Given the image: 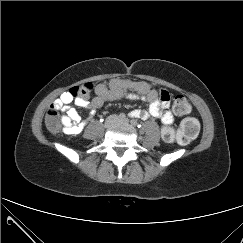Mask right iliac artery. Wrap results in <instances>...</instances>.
I'll return each mask as SVG.
<instances>
[{
  "label": "right iliac artery",
  "instance_id": "right-iliac-artery-1",
  "mask_svg": "<svg viewBox=\"0 0 243 243\" xmlns=\"http://www.w3.org/2000/svg\"><path fill=\"white\" fill-rule=\"evenodd\" d=\"M118 117H119V119H125L126 115L124 113H120Z\"/></svg>",
  "mask_w": 243,
  "mask_h": 243
}]
</instances>
